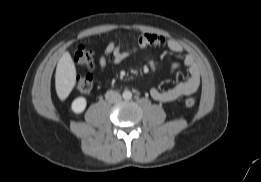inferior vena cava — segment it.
I'll list each match as a JSON object with an SVG mask.
<instances>
[{"label": "inferior vena cava", "mask_w": 261, "mask_h": 182, "mask_svg": "<svg viewBox=\"0 0 261 182\" xmlns=\"http://www.w3.org/2000/svg\"><path fill=\"white\" fill-rule=\"evenodd\" d=\"M105 99L110 103H117L121 100V95L113 90H109L105 94Z\"/></svg>", "instance_id": "inferior-vena-cava-1"}]
</instances>
